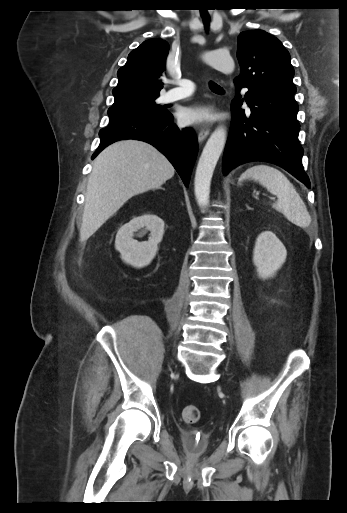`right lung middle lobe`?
Listing matches in <instances>:
<instances>
[{"label": "right lung middle lobe", "instance_id": "1", "mask_svg": "<svg viewBox=\"0 0 347 513\" xmlns=\"http://www.w3.org/2000/svg\"><path fill=\"white\" fill-rule=\"evenodd\" d=\"M157 97L158 96L143 97L114 104L108 110L109 120L134 115H145L154 118L160 117L164 115L167 110L155 103Z\"/></svg>", "mask_w": 347, "mask_h": 513}]
</instances>
